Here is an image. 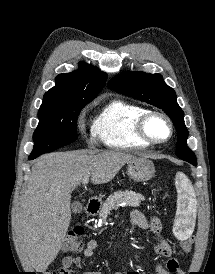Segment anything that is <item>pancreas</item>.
Segmentation results:
<instances>
[{
	"label": "pancreas",
	"mask_w": 215,
	"mask_h": 274,
	"mask_svg": "<svg viewBox=\"0 0 215 274\" xmlns=\"http://www.w3.org/2000/svg\"><path fill=\"white\" fill-rule=\"evenodd\" d=\"M143 200L144 197L134 191H117L105 201L99 216L102 220H106L110 212L114 209L117 210L121 204L126 207H138Z\"/></svg>",
	"instance_id": "1"
}]
</instances>
